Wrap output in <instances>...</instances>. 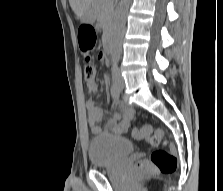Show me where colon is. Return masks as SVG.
Listing matches in <instances>:
<instances>
[{
	"instance_id": "colon-1",
	"label": "colon",
	"mask_w": 223,
	"mask_h": 191,
	"mask_svg": "<svg viewBox=\"0 0 223 191\" xmlns=\"http://www.w3.org/2000/svg\"><path fill=\"white\" fill-rule=\"evenodd\" d=\"M79 44L83 51L93 52L96 46L97 34L91 25H83L79 30ZM84 76L88 83H93L97 77V70L91 64L84 69ZM137 140L147 139L155 147L151 152L149 160L141 161L136 165L138 173H152L158 171L162 174H172L177 169V157L174 147L166 140L164 132L153 131L149 125L136 128L132 133Z\"/></svg>"
}]
</instances>
